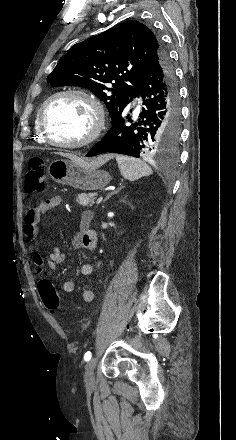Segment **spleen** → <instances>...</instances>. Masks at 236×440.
<instances>
[{
  "label": "spleen",
  "instance_id": "obj_1",
  "mask_svg": "<svg viewBox=\"0 0 236 440\" xmlns=\"http://www.w3.org/2000/svg\"><path fill=\"white\" fill-rule=\"evenodd\" d=\"M116 161L121 175L129 181H136L141 177L152 174L151 167L141 159L126 155H117Z\"/></svg>",
  "mask_w": 236,
  "mask_h": 440
}]
</instances>
